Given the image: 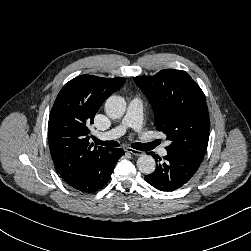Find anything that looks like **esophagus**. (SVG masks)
I'll return each mask as SVG.
<instances>
[{
    "label": "esophagus",
    "instance_id": "1",
    "mask_svg": "<svg viewBox=\"0 0 251 251\" xmlns=\"http://www.w3.org/2000/svg\"><path fill=\"white\" fill-rule=\"evenodd\" d=\"M125 150L128 153H131L132 155H135V156H141V155H143V152H141L139 150H136V149H133V148H130V147H127Z\"/></svg>",
    "mask_w": 251,
    "mask_h": 251
}]
</instances>
